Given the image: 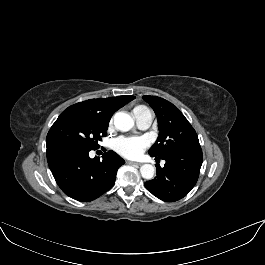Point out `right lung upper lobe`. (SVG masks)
Instances as JSON below:
<instances>
[{
  "label": "right lung upper lobe",
  "instance_id": "obj_1",
  "mask_svg": "<svg viewBox=\"0 0 265 265\" xmlns=\"http://www.w3.org/2000/svg\"><path fill=\"white\" fill-rule=\"evenodd\" d=\"M135 99V96H118L104 99H90L76 103L66 110H78L93 113L100 118L110 121L112 115L128 102Z\"/></svg>",
  "mask_w": 265,
  "mask_h": 265
}]
</instances>
